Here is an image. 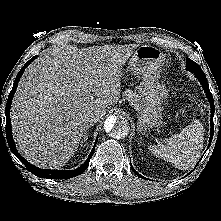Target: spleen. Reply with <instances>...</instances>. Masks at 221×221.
Returning a JSON list of instances; mask_svg holds the SVG:
<instances>
[{"label":"spleen","mask_w":221,"mask_h":221,"mask_svg":"<svg viewBox=\"0 0 221 221\" xmlns=\"http://www.w3.org/2000/svg\"><path fill=\"white\" fill-rule=\"evenodd\" d=\"M203 142V126L199 121H194L179 134L173 135L166 145H152L149 150L176 168L188 170L200 156Z\"/></svg>","instance_id":"1"}]
</instances>
